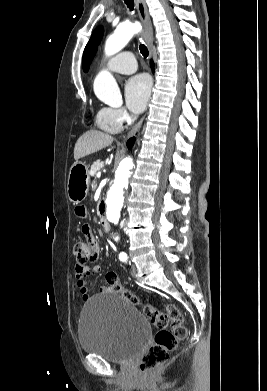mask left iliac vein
<instances>
[{"label":"left iliac vein","mask_w":267,"mask_h":391,"mask_svg":"<svg viewBox=\"0 0 267 391\" xmlns=\"http://www.w3.org/2000/svg\"><path fill=\"white\" fill-rule=\"evenodd\" d=\"M136 274H137V268H136V266L133 264L132 267H131V275L135 277Z\"/></svg>","instance_id":"left-iliac-vein-1"}]
</instances>
